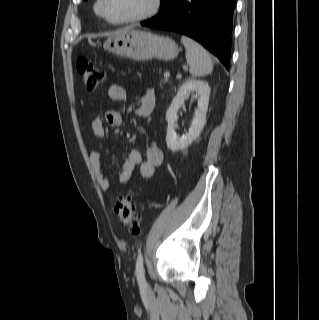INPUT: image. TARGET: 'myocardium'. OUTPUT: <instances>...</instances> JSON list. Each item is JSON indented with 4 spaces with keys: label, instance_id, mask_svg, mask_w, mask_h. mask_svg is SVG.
Listing matches in <instances>:
<instances>
[{
    "label": "myocardium",
    "instance_id": "1",
    "mask_svg": "<svg viewBox=\"0 0 319 320\" xmlns=\"http://www.w3.org/2000/svg\"><path fill=\"white\" fill-rule=\"evenodd\" d=\"M98 1H99V13L101 17L104 18L108 23L113 25H124V24L145 21L157 15L162 6V0H153L152 7L147 12L136 15V16H132L126 19H122V20H113L109 18L106 13V9H105L106 1L105 0H98Z\"/></svg>",
    "mask_w": 319,
    "mask_h": 320
}]
</instances>
